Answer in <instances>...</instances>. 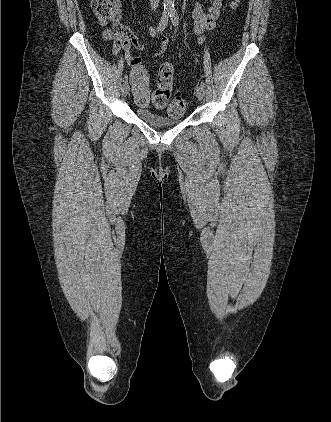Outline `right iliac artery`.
<instances>
[{
	"mask_svg": "<svg viewBox=\"0 0 331 422\" xmlns=\"http://www.w3.org/2000/svg\"><path fill=\"white\" fill-rule=\"evenodd\" d=\"M169 14H170L169 11H163L161 19L157 27V32H162L165 29L169 20ZM127 81H128V75H125L123 79V83L125 84L127 83Z\"/></svg>",
	"mask_w": 331,
	"mask_h": 422,
	"instance_id": "right-iliac-artery-1",
	"label": "right iliac artery"
}]
</instances>
